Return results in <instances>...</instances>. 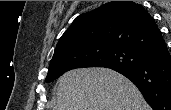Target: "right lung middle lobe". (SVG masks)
<instances>
[{"label":"right lung middle lobe","instance_id":"1","mask_svg":"<svg viewBox=\"0 0 171 110\" xmlns=\"http://www.w3.org/2000/svg\"><path fill=\"white\" fill-rule=\"evenodd\" d=\"M145 60V54L125 47H86L51 60L46 82H51L63 73L81 67H134Z\"/></svg>","mask_w":171,"mask_h":110}]
</instances>
